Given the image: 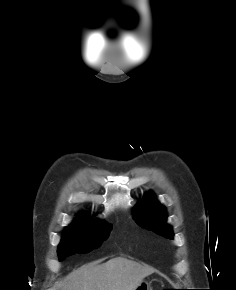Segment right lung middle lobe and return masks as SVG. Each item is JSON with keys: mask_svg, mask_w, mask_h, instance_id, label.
Listing matches in <instances>:
<instances>
[{"mask_svg": "<svg viewBox=\"0 0 236 290\" xmlns=\"http://www.w3.org/2000/svg\"><path fill=\"white\" fill-rule=\"evenodd\" d=\"M111 225L90 222L84 224H71L64 231L58 247L59 260L73 253H86L97 248L111 231Z\"/></svg>", "mask_w": 236, "mask_h": 290, "instance_id": "1", "label": "right lung middle lobe"}]
</instances>
